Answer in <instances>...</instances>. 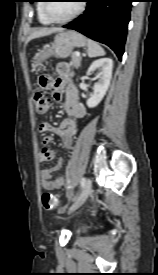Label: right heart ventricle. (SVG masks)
<instances>
[{"mask_svg":"<svg viewBox=\"0 0 158 275\" xmlns=\"http://www.w3.org/2000/svg\"><path fill=\"white\" fill-rule=\"evenodd\" d=\"M44 2L43 0H40L39 3L37 4V16H38V20L41 24L43 25H49L52 22L50 20H48V18L45 16L44 11H43V4Z\"/></svg>","mask_w":158,"mask_h":275,"instance_id":"obj_1","label":"right heart ventricle"}]
</instances>
